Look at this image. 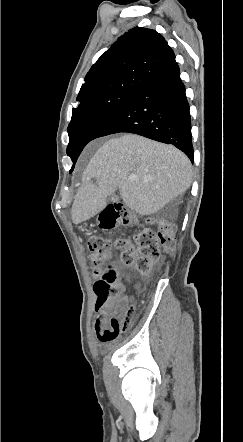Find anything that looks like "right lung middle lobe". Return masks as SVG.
Instances as JSON below:
<instances>
[{"instance_id": "1", "label": "right lung middle lobe", "mask_w": 243, "mask_h": 442, "mask_svg": "<svg viewBox=\"0 0 243 442\" xmlns=\"http://www.w3.org/2000/svg\"><path fill=\"white\" fill-rule=\"evenodd\" d=\"M132 92L131 89L113 91L73 108L71 122L67 128L69 134L67 154L73 161V167L83 148L93 140L94 134Z\"/></svg>"}]
</instances>
